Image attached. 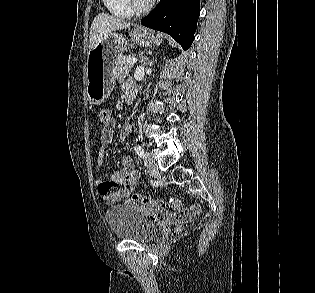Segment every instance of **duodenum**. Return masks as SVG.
<instances>
[{
    "label": "duodenum",
    "instance_id": "duodenum-1",
    "mask_svg": "<svg viewBox=\"0 0 315 293\" xmlns=\"http://www.w3.org/2000/svg\"><path fill=\"white\" fill-rule=\"evenodd\" d=\"M134 99V93H130L127 95V102L131 103Z\"/></svg>",
    "mask_w": 315,
    "mask_h": 293
}]
</instances>
